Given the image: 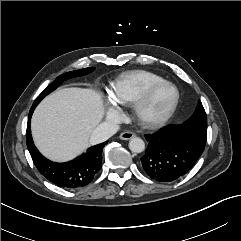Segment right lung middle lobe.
Segmentation results:
<instances>
[{"instance_id":"obj_1","label":"right lung middle lobe","mask_w":241,"mask_h":241,"mask_svg":"<svg viewBox=\"0 0 241 241\" xmlns=\"http://www.w3.org/2000/svg\"><path fill=\"white\" fill-rule=\"evenodd\" d=\"M94 67H89L81 70H75L71 72L64 73L60 76H58L53 83H51L47 88H45L42 93L36 98V100L33 103V106H37L38 103L50 92L55 90L63 81L73 78V77H78V76H84L86 74L91 73L94 71Z\"/></svg>"}]
</instances>
